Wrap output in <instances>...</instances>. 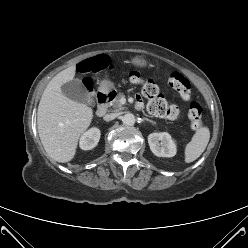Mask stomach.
<instances>
[{
	"label": "stomach",
	"instance_id": "0dacf381",
	"mask_svg": "<svg viewBox=\"0 0 248 248\" xmlns=\"http://www.w3.org/2000/svg\"><path fill=\"white\" fill-rule=\"evenodd\" d=\"M129 63L132 64L133 66L135 67H146L149 65V62L143 58H140V57H132L130 60H129ZM114 89V84L113 82H111L110 80H103L101 83H100V86H99V91L103 94H108L110 93L112 90Z\"/></svg>",
	"mask_w": 248,
	"mask_h": 248
}]
</instances>
